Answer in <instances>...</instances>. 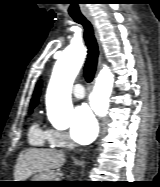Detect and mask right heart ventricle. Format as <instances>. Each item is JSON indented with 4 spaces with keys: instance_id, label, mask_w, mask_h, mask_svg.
Here are the masks:
<instances>
[{
    "instance_id": "1",
    "label": "right heart ventricle",
    "mask_w": 160,
    "mask_h": 187,
    "mask_svg": "<svg viewBox=\"0 0 160 187\" xmlns=\"http://www.w3.org/2000/svg\"><path fill=\"white\" fill-rule=\"evenodd\" d=\"M28 138L33 146L42 147L49 143L47 130L41 129L37 123L31 126Z\"/></svg>"
}]
</instances>
